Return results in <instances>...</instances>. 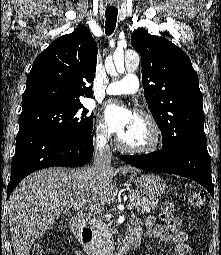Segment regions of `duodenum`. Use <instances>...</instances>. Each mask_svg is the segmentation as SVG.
<instances>
[{
	"label": "duodenum",
	"mask_w": 221,
	"mask_h": 255,
	"mask_svg": "<svg viewBox=\"0 0 221 255\" xmlns=\"http://www.w3.org/2000/svg\"><path fill=\"white\" fill-rule=\"evenodd\" d=\"M69 230L72 233V235L76 238V240L80 241L84 245H91L93 242V229L92 227L87 223L85 217L81 214L75 215L70 221H69ZM140 240L130 238V242L127 246L126 252H119L115 255H127L129 253H132L138 248Z\"/></svg>",
	"instance_id": "410a0bca"
}]
</instances>
